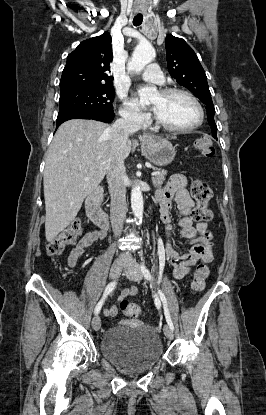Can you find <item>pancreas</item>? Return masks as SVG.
Wrapping results in <instances>:
<instances>
[{
    "instance_id": "pancreas-1",
    "label": "pancreas",
    "mask_w": 266,
    "mask_h": 415,
    "mask_svg": "<svg viewBox=\"0 0 266 415\" xmlns=\"http://www.w3.org/2000/svg\"><path fill=\"white\" fill-rule=\"evenodd\" d=\"M156 172H159V174L152 178V183L154 187L160 188L165 181L166 174L165 172L160 171V170H157Z\"/></svg>"
}]
</instances>
